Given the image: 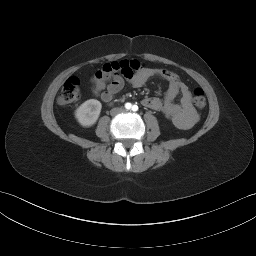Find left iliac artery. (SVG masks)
<instances>
[{
	"instance_id": "1",
	"label": "left iliac artery",
	"mask_w": 256,
	"mask_h": 256,
	"mask_svg": "<svg viewBox=\"0 0 256 256\" xmlns=\"http://www.w3.org/2000/svg\"><path fill=\"white\" fill-rule=\"evenodd\" d=\"M132 110H133V111H137V110H138V106H137V105H133V106H132Z\"/></svg>"
}]
</instances>
